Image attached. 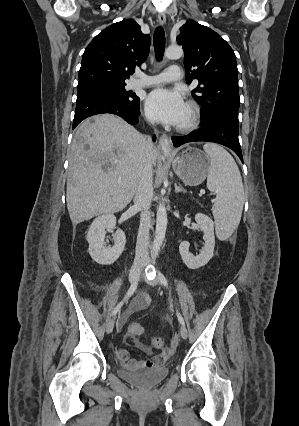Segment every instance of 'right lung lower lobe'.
<instances>
[{
  "label": "right lung lower lobe",
  "instance_id": "98d812e1",
  "mask_svg": "<svg viewBox=\"0 0 299 426\" xmlns=\"http://www.w3.org/2000/svg\"><path fill=\"white\" fill-rule=\"evenodd\" d=\"M104 113L118 115L129 124L135 125L138 123L137 117L140 115V99L138 102L130 104L103 93H81L77 95L73 129L85 118ZM155 139L154 136L153 140L155 141Z\"/></svg>",
  "mask_w": 299,
  "mask_h": 426
}]
</instances>
